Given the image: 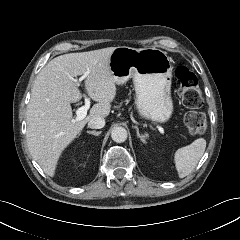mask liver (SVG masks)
<instances>
[{
    "instance_id": "1",
    "label": "liver",
    "mask_w": 240,
    "mask_h": 240,
    "mask_svg": "<svg viewBox=\"0 0 240 240\" xmlns=\"http://www.w3.org/2000/svg\"><path fill=\"white\" fill-rule=\"evenodd\" d=\"M116 47L70 53L51 60L37 75L27 106V145L43 171L53 177L64 149L93 117H107L116 96V85L109 58ZM85 88L97 103L88 116L73 123L71 103L82 94L74 77L84 75Z\"/></svg>"
}]
</instances>
